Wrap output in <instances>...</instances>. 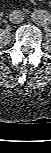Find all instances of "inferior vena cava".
<instances>
[{
    "label": "inferior vena cava",
    "mask_w": 51,
    "mask_h": 153,
    "mask_svg": "<svg viewBox=\"0 0 51 153\" xmlns=\"http://www.w3.org/2000/svg\"><path fill=\"white\" fill-rule=\"evenodd\" d=\"M24 18H25V15L21 10H14L9 14V20L13 24L22 23Z\"/></svg>",
    "instance_id": "602c4592"
}]
</instances>
